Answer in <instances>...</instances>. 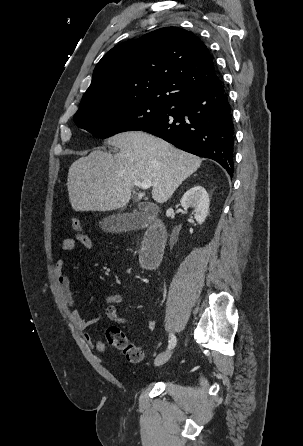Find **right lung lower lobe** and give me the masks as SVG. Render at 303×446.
Returning <instances> with one entry per match:
<instances>
[{"instance_id": "obj_1", "label": "right lung lower lobe", "mask_w": 303, "mask_h": 446, "mask_svg": "<svg viewBox=\"0 0 303 446\" xmlns=\"http://www.w3.org/2000/svg\"><path fill=\"white\" fill-rule=\"evenodd\" d=\"M142 130L213 159L233 175L234 128L229 96L221 81L188 93Z\"/></svg>"}]
</instances>
